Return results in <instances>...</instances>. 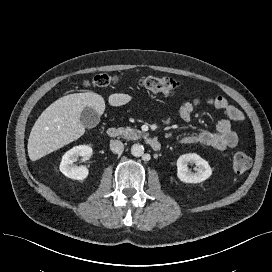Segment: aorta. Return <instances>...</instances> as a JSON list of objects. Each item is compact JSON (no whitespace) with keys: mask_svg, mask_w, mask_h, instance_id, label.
I'll use <instances>...</instances> for the list:
<instances>
[{"mask_svg":"<svg viewBox=\"0 0 272 272\" xmlns=\"http://www.w3.org/2000/svg\"><path fill=\"white\" fill-rule=\"evenodd\" d=\"M131 154L134 157H141L144 154V147L141 144H134L131 147Z\"/></svg>","mask_w":272,"mask_h":272,"instance_id":"obj_1","label":"aorta"}]
</instances>
